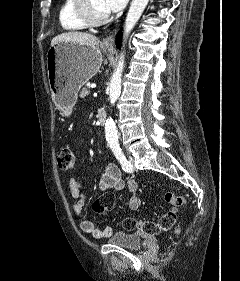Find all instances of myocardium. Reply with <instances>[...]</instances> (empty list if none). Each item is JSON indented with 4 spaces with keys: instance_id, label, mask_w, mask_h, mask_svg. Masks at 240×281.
<instances>
[{
    "instance_id": "myocardium-1",
    "label": "myocardium",
    "mask_w": 240,
    "mask_h": 281,
    "mask_svg": "<svg viewBox=\"0 0 240 281\" xmlns=\"http://www.w3.org/2000/svg\"><path fill=\"white\" fill-rule=\"evenodd\" d=\"M75 12L78 18L89 27H97L110 21L109 13L99 12L93 0H77Z\"/></svg>"
}]
</instances>
